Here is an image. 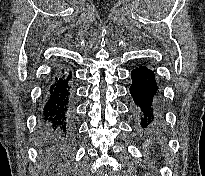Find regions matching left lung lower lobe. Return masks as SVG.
Returning a JSON list of instances; mask_svg holds the SVG:
<instances>
[{
	"label": "left lung lower lobe",
	"mask_w": 205,
	"mask_h": 176,
	"mask_svg": "<svg viewBox=\"0 0 205 176\" xmlns=\"http://www.w3.org/2000/svg\"><path fill=\"white\" fill-rule=\"evenodd\" d=\"M131 78L130 93L135 103V112L141 127L146 128L160 117L155 74L146 66H139L131 71Z\"/></svg>",
	"instance_id": "1"
}]
</instances>
